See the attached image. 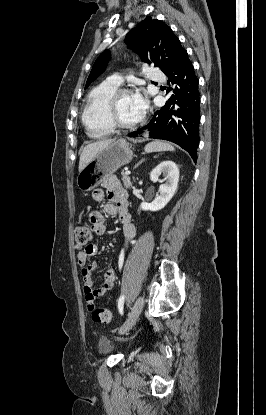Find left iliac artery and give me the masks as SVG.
Returning a JSON list of instances; mask_svg holds the SVG:
<instances>
[{"label": "left iliac artery", "mask_w": 266, "mask_h": 415, "mask_svg": "<svg viewBox=\"0 0 266 415\" xmlns=\"http://www.w3.org/2000/svg\"><path fill=\"white\" fill-rule=\"evenodd\" d=\"M124 298H125L124 295H122L118 301V309H119L120 314H123Z\"/></svg>", "instance_id": "44dca946"}]
</instances>
